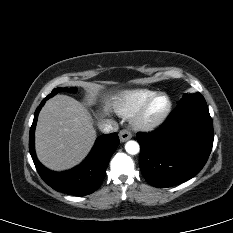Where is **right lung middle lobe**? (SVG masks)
I'll use <instances>...</instances> for the list:
<instances>
[{
	"label": "right lung middle lobe",
	"mask_w": 233,
	"mask_h": 233,
	"mask_svg": "<svg viewBox=\"0 0 233 233\" xmlns=\"http://www.w3.org/2000/svg\"><path fill=\"white\" fill-rule=\"evenodd\" d=\"M67 90L70 91V92H75L77 89L76 88H71V89H68V88H56V89H53V91L46 98L49 99L52 96H54L56 93L64 92V91H67Z\"/></svg>",
	"instance_id": "dd1d6c3e"
}]
</instances>
